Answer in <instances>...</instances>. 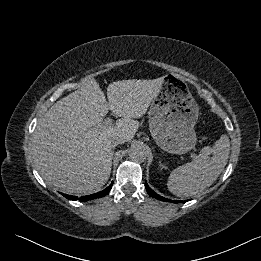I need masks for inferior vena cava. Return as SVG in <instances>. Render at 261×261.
Segmentation results:
<instances>
[{"label": "inferior vena cava", "mask_w": 261, "mask_h": 261, "mask_svg": "<svg viewBox=\"0 0 261 261\" xmlns=\"http://www.w3.org/2000/svg\"><path fill=\"white\" fill-rule=\"evenodd\" d=\"M125 140L123 137L121 136H116V137H113L112 140H111V146L112 148H115L118 144H122L124 143Z\"/></svg>", "instance_id": "obj_1"}]
</instances>
